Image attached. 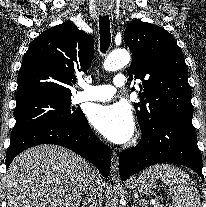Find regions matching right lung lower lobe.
Instances as JSON below:
<instances>
[{"mask_svg":"<svg viewBox=\"0 0 206 207\" xmlns=\"http://www.w3.org/2000/svg\"><path fill=\"white\" fill-rule=\"evenodd\" d=\"M39 144L66 147L97 166L103 176L109 175L111 151L95 136L85 117L74 123L42 122L12 131L6 168L20 152Z\"/></svg>","mask_w":206,"mask_h":207,"instance_id":"98d812e1","label":"right lung lower lobe"}]
</instances>
